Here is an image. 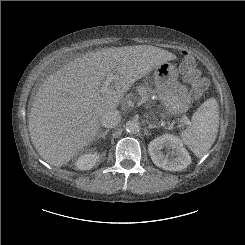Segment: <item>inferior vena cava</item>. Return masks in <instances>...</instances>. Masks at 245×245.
Returning <instances> with one entry per match:
<instances>
[{"label":"inferior vena cava","instance_id":"602c4592","mask_svg":"<svg viewBox=\"0 0 245 245\" xmlns=\"http://www.w3.org/2000/svg\"><path fill=\"white\" fill-rule=\"evenodd\" d=\"M121 121V115L118 110H108L101 117V123L106 128H113Z\"/></svg>","mask_w":245,"mask_h":245}]
</instances>
